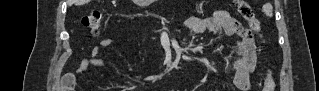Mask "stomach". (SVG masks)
<instances>
[{
	"mask_svg": "<svg viewBox=\"0 0 319 91\" xmlns=\"http://www.w3.org/2000/svg\"><path fill=\"white\" fill-rule=\"evenodd\" d=\"M152 0H138L137 2H141V3H150Z\"/></svg>",
	"mask_w": 319,
	"mask_h": 91,
	"instance_id": "0dacf381",
	"label": "stomach"
}]
</instances>
